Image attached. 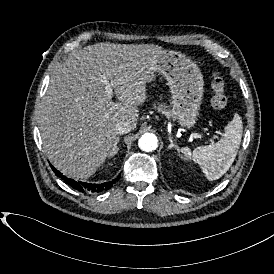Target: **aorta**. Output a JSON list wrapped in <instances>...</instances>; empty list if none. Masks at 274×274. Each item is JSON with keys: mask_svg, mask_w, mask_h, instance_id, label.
<instances>
[{"mask_svg": "<svg viewBox=\"0 0 274 274\" xmlns=\"http://www.w3.org/2000/svg\"><path fill=\"white\" fill-rule=\"evenodd\" d=\"M139 148L146 152L154 151L158 146V139L153 133H145L139 139Z\"/></svg>", "mask_w": 274, "mask_h": 274, "instance_id": "obj_1", "label": "aorta"}]
</instances>
